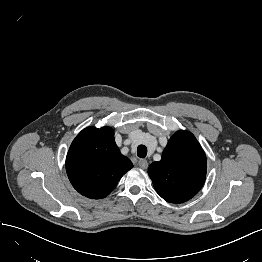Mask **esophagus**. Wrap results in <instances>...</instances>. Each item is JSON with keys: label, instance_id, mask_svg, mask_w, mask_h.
I'll return each instance as SVG.
<instances>
[{"label": "esophagus", "instance_id": "obj_1", "mask_svg": "<svg viewBox=\"0 0 262 262\" xmlns=\"http://www.w3.org/2000/svg\"><path fill=\"white\" fill-rule=\"evenodd\" d=\"M137 165L141 168V169H146L148 167V161L145 159H139L137 162Z\"/></svg>", "mask_w": 262, "mask_h": 262}]
</instances>
